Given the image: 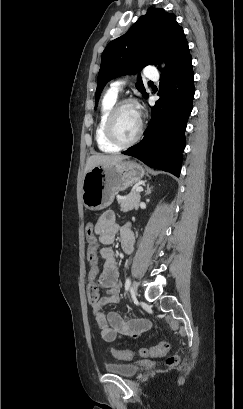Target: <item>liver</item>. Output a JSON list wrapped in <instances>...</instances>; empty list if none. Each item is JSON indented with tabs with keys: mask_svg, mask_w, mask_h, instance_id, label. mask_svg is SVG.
<instances>
[{
	"mask_svg": "<svg viewBox=\"0 0 243 409\" xmlns=\"http://www.w3.org/2000/svg\"><path fill=\"white\" fill-rule=\"evenodd\" d=\"M125 155H92L87 159L84 173L86 174L95 166H111L126 159Z\"/></svg>",
	"mask_w": 243,
	"mask_h": 409,
	"instance_id": "6515ba94",
	"label": "liver"
}]
</instances>
